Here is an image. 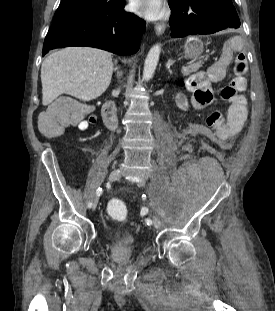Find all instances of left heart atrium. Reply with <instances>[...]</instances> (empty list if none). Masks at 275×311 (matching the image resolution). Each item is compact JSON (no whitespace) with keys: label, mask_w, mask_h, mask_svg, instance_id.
Masks as SVG:
<instances>
[{"label":"left heart atrium","mask_w":275,"mask_h":311,"mask_svg":"<svg viewBox=\"0 0 275 311\" xmlns=\"http://www.w3.org/2000/svg\"><path fill=\"white\" fill-rule=\"evenodd\" d=\"M132 7L149 20L160 19L166 12L164 0H132Z\"/></svg>","instance_id":"1"}]
</instances>
